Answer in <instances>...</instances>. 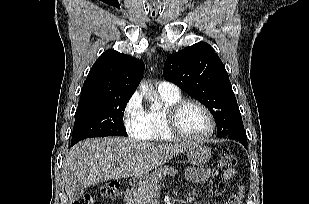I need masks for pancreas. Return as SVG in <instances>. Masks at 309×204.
<instances>
[{"mask_svg":"<svg viewBox=\"0 0 309 204\" xmlns=\"http://www.w3.org/2000/svg\"><path fill=\"white\" fill-rule=\"evenodd\" d=\"M177 170L169 166H161L155 169L140 183L139 188L133 191V195L140 204H147L154 200V191L158 183L167 175L175 176Z\"/></svg>","mask_w":309,"mask_h":204,"instance_id":"cf45deb5","label":"pancreas"}]
</instances>
